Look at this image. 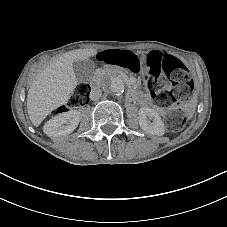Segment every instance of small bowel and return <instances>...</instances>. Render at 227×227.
Instances as JSON below:
<instances>
[{"label":"small bowel","instance_id":"1","mask_svg":"<svg viewBox=\"0 0 227 227\" xmlns=\"http://www.w3.org/2000/svg\"><path fill=\"white\" fill-rule=\"evenodd\" d=\"M150 53H154L155 55H157V56H162L164 53H162V52H159V51H152V52H150ZM150 53H148V54H150ZM147 54V55H148ZM146 56V55H145Z\"/></svg>","mask_w":227,"mask_h":227}]
</instances>
